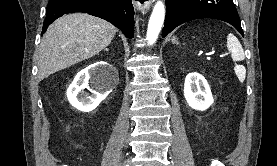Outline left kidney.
Wrapping results in <instances>:
<instances>
[{
  "label": "left kidney",
  "mask_w": 277,
  "mask_h": 166,
  "mask_svg": "<svg viewBox=\"0 0 277 166\" xmlns=\"http://www.w3.org/2000/svg\"><path fill=\"white\" fill-rule=\"evenodd\" d=\"M184 96L188 105L204 111L213 104V96L206 79L199 73H189L184 83Z\"/></svg>",
  "instance_id": "left-kidney-1"
}]
</instances>
